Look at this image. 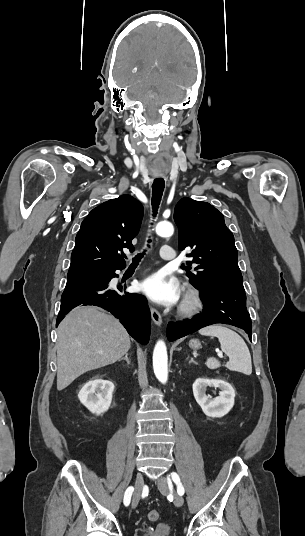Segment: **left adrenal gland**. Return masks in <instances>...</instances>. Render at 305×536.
I'll return each instance as SVG.
<instances>
[{
    "mask_svg": "<svg viewBox=\"0 0 305 536\" xmlns=\"http://www.w3.org/2000/svg\"><path fill=\"white\" fill-rule=\"evenodd\" d=\"M191 362H194L193 358H190V362H189V364H191Z\"/></svg>",
    "mask_w": 305,
    "mask_h": 536,
    "instance_id": "obj_1",
    "label": "left adrenal gland"
}]
</instances>
